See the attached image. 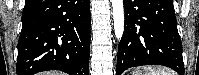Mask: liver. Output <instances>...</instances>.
<instances>
[{
  "label": "liver",
  "instance_id": "obj_1",
  "mask_svg": "<svg viewBox=\"0 0 199 75\" xmlns=\"http://www.w3.org/2000/svg\"><path fill=\"white\" fill-rule=\"evenodd\" d=\"M41 75H63L61 72H45L42 73Z\"/></svg>",
  "mask_w": 199,
  "mask_h": 75
}]
</instances>
